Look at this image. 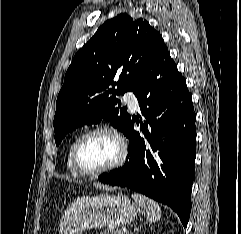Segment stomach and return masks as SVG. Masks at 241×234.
I'll return each mask as SVG.
<instances>
[{"label":"stomach","mask_w":241,"mask_h":234,"mask_svg":"<svg viewBox=\"0 0 241 234\" xmlns=\"http://www.w3.org/2000/svg\"><path fill=\"white\" fill-rule=\"evenodd\" d=\"M139 208L122 194L105 193L74 200L62 219L60 234H82L97 227L117 228L131 223Z\"/></svg>","instance_id":"1"}]
</instances>
